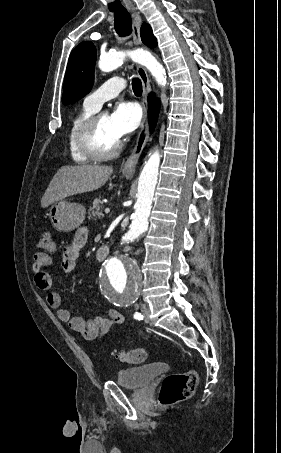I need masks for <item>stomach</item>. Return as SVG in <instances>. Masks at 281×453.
<instances>
[{
    "label": "stomach",
    "mask_w": 281,
    "mask_h": 453,
    "mask_svg": "<svg viewBox=\"0 0 281 453\" xmlns=\"http://www.w3.org/2000/svg\"><path fill=\"white\" fill-rule=\"evenodd\" d=\"M127 176V174H126ZM131 178V176H127ZM48 214L52 227L60 233H70L78 229L85 220L86 210L79 202H67V200H56L51 204Z\"/></svg>",
    "instance_id": "0dacf381"
}]
</instances>
